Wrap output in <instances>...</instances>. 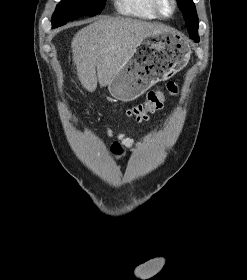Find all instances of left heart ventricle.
Segmentation results:
<instances>
[{"label": "left heart ventricle", "instance_id": "left-heart-ventricle-1", "mask_svg": "<svg viewBox=\"0 0 247 280\" xmlns=\"http://www.w3.org/2000/svg\"><path fill=\"white\" fill-rule=\"evenodd\" d=\"M163 11H164V13L167 14V15H169V14L171 13L172 7H171V5H170L169 2L165 1V2L163 3Z\"/></svg>", "mask_w": 247, "mask_h": 280}]
</instances>
